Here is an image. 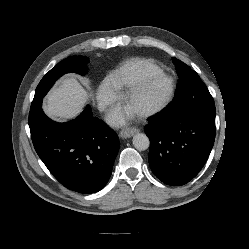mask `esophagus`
Instances as JSON below:
<instances>
[{
    "label": "esophagus",
    "mask_w": 249,
    "mask_h": 249,
    "mask_svg": "<svg viewBox=\"0 0 249 249\" xmlns=\"http://www.w3.org/2000/svg\"><path fill=\"white\" fill-rule=\"evenodd\" d=\"M138 132L136 128H125L120 132V137L123 139H127L132 137L135 133Z\"/></svg>",
    "instance_id": "34e87169"
}]
</instances>
